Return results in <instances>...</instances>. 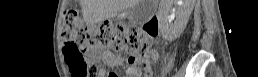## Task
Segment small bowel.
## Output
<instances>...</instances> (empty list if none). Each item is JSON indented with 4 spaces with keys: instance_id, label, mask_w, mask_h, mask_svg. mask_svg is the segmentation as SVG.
<instances>
[{
    "instance_id": "c3829d8e",
    "label": "small bowel",
    "mask_w": 258,
    "mask_h": 77,
    "mask_svg": "<svg viewBox=\"0 0 258 77\" xmlns=\"http://www.w3.org/2000/svg\"><path fill=\"white\" fill-rule=\"evenodd\" d=\"M98 56H99V54L96 51L89 52V60L90 61H94ZM150 56L153 60H155L157 58V52L155 50H152L150 52ZM104 59H105V63L107 65L114 66L118 63L119 56L114 53H108L107 55L104 56ZM104 73H105V71L103 69H101L99 71V74H104ZM111 74L114 75V73H111ZM110 77H116V76H110Z\"/></svg>"
}]
</instances>
